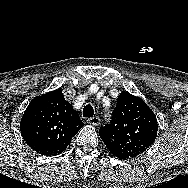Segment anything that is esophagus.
<instances>
[{
    "instance_id": "esophagus-1",
    "label": "esophagus",
    "mask_w": 188,
    "mask_h": 188,
    "mask_svg": "<svg viewBox=\"0 0 188 188\" xmlns=\"http://www.w3.org/2000/svg\"><path fill=\"white\" fill-rule=\"evenodd\" d=\"M87 123L92 124V125H98L100 123V118L97 116L90 117L87 119Z\"/></svg>"
}]
</instances>
